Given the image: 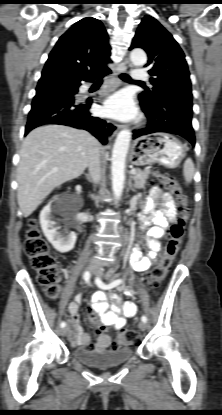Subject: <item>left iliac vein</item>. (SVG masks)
<instances>
[{
  "label": "left iliac vein",
  "mask_w": 222,
  "mask_h": 415,
  "mask_svg": "<svg viewBox=\"0 0 222 415\" xmlns=\"http://www.w3.org/2000/svg\"><path fill=\"white\" fill-rule=\"evenodd\" d=\"M94 274L98 277V278H103L104 277V272H103V269H101V268H95V271H94ZM138 327H139V329L141 330V331H144V330H146V328H147V325H146V323L145 322H140L139 324H138Z\"/></svg>",
  "instance_id": "1"
}]
</instances>
